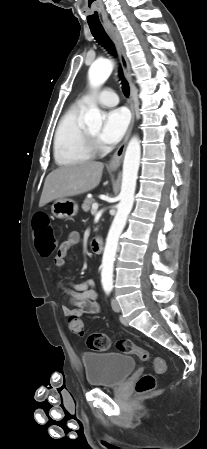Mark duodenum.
Instances as JSON below:
<instances>
[{
	"label": "duodenum",
	"mask_w": 207,
	"mask_h": 449,
	"mask_svg": "<svg viewBox=\"0 0 207 449\" xmlns=\"http://www.w3.org/2000/svg\"><path fill=\"white\" fill-rule=\"evenodd\" d=\"M91 247L93 252L99 254L103 250V240L100 237H95L91 240Z\"/></svg>",
	"instance_id": "obj_1"
}]
</instances>
